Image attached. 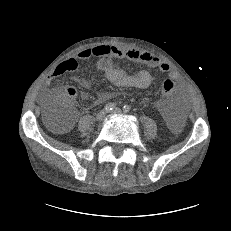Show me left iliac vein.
I'll list each match as a JSON object with an SVG mask.
<instances>
[{
	"label": "left iliac vein",
	"mask_w": 231,
	"mask_h": 231,
	"mask_svg": "<svg viewBox=\"0 0 231 231\" xmlns=\"http://www.w3.org/2000/svg\"><path fill=\"white\" fill-rule=\"evenodd\" d=\"M112 114H121L122 111L120 108H115L113 111H111Z\"/></svg>",
	"instance_id": "4c4485c4"
}]
</instances>
